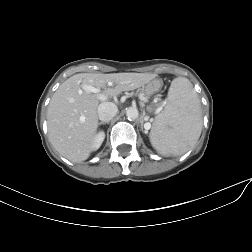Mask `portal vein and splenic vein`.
<instances>
[{"instance_id": "18ae733b", "label": "portal vein and splenic vein", "mask_w": 252, "mask_h": 252, "mask_svg": "<svg viewBox=\"0 0 252 252\" xmlns=\"http://www.w3.org/2000/svg\"><path fill=\"white\" fill-rule=\"evenodd\" d=\"M86 90H88L89 92L98 93L99 94V100H101V101L105 100L104 96L99 93L100 89H97V88L92 87V86H86ZM145 127H147L149 129L150 128V123H145Z\"/></svg>"}]
</instances>
